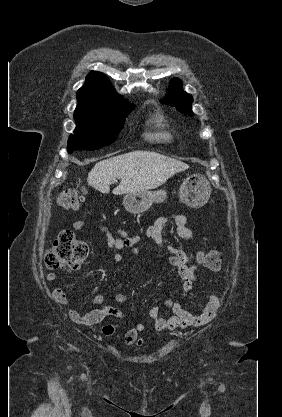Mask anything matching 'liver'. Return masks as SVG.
<instances>
[{
	"label": "liver",
	"mask_w": 282,
	"mask_h": 417,
	"mask_svg": "<svg viewBox=\"0 0 282 417\" xmlns=\"http://www.w3.org/2000/svg\"><path fill=\"white\" fill-rule=\"evenodd\" d=\"M189 168L186 162L170 158L160 152L133 150L106 160H99L88 172L87 182L100 192H110V182L121 178L113 188V194H127L138 190H149L164 184L176 172Z\"/></svg>",
	"instance_id": "obj_1"
}]
</instances>
